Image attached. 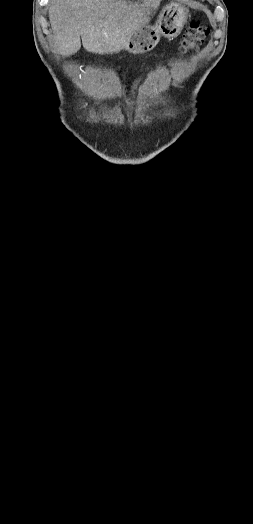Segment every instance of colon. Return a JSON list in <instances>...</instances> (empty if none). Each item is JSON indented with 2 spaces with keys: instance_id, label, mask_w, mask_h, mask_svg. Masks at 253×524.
Returning a JSON list of instances; mask_svg holds the SVG:
<instances>
[{
  "instance_id": "colon-1",
  "label": "colon",
  "mask_w": 253,
  "mask_h": 524,
  "mask_svg": "<svg viewBox=\"0 0 253 524\" xmlns=\"http://www.w3.org/2000/svg\"><path fill=\"white\" fill-rule=\"evenodd\" d=\"M209 28L205 24L194 21L186 29L181 43V52L187 53L196 50L208 37Z\"/></svg>"
}]
</instances>
